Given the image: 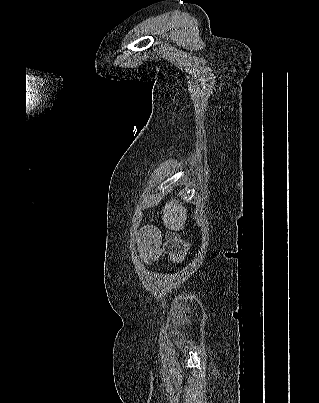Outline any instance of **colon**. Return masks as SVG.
Returning <instances> with one entry per match:
<instances>
[{"instance_id": "1", "label": "colon", "mask_w": 319, "mask_h": 403, "mask_svg": "<svg viewBox=\"0 0 319 403\" xmlns=\"http://www.w3.org/2000/svg\"><path fill=\"white\" fill-rule=\"evenodd\" d=\"M144 234L146 239L140 240V247L149 248L152 252H157L160 245V236L158 232L147 227L144 229ZM163 247L174 262L182 261L188 251V245L182 239L172 234L167 236Z\"/></svg>"}]
</instances>
